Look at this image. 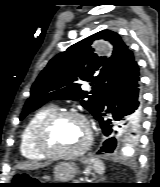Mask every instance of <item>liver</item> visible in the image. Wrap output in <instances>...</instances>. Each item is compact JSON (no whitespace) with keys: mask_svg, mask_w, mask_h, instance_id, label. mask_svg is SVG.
Returning <instances> with one entry per match:
<instances>
[{"mask_svg":"<svg viewBox=\"0 0 160 187\" xmlns=\"http://www.w3.org/2000/svg\"><path fill=\"white\" fill-rule=\"evenodd\" d=\"M34 167H35V165H33V164H24V165H21L22 169H32Z\"/></svg>","mask_w":160,"mask_h":187,"instance_id":"6515ba94","label":"liver"}]
</instances>
